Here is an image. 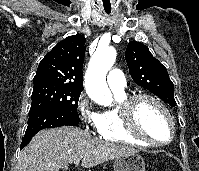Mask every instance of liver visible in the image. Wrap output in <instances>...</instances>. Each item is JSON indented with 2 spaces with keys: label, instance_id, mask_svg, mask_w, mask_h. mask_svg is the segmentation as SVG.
<instances>
[{
  "label": "liver",
  "instance_id": "obj_1",
  "mask_svg": "<svg viewBox=\"0 0 199 171\" xmlns=\"http://www.w3.org/2000/svg\"><path fill=\"white\" fill-rule=\"evenodd\" d=\"M134 148L101 140L88 131L62 126L44 129L20 152L17 171L67 170L75 159L91 168L117 157L137 154Z\"/></svg>",
  "mask_w": 199,
  "mask_h": 171
}]
</instances>
